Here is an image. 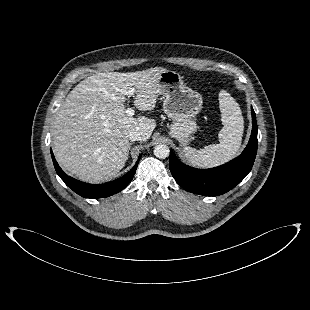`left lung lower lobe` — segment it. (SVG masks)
<instances>
[{
  "label": "left lung lower lobe",
  "mask_w": 310,
  "mask_h": 310,
  "mask_svg": "<svg viewBox=\"0 0 310 310\" xmlns=\"http://www.w3.org/2000/svg\"><path fill=\"white\" fill-rule=\"evenodd\" d=\"M252 133L241 155L230 162L211 169H196L181 163L170 151L169 167L176 182L185 190L205 195L218 196L239 184L251 171L257 152V123L253 108Z\"/></svg>",
  "instance_id": "0a47b994"
}]
</instances>
